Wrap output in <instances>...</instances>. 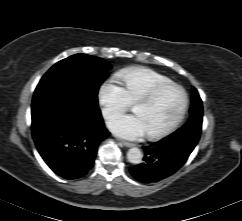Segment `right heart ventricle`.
<instances>
[{"label":"right heart ventricle","mask_w":242,"mask_h":221,"mask_svg":"<svg viewBox=\"0 0 242 221\" xmlns=\"http://www.w3.org/2000/svg\"><path fill=\"white\" fill-rule=\"evenodd\" d=\"M116 77L131 103H134L156 85L170 81L169 78L155 70L144 67L121 71Z\"/></svg>","instance_id":"right-heart-ventricle-1"}]
</instances>
